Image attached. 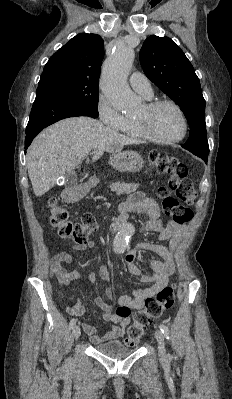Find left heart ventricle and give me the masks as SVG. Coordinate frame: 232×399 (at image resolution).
<instances>
[{"label": "left heart ventricle", "instance_id": "b2bd125f", "mask_svg": "<svg viewBox=\"0 0 232 399\" xmlns=\"http://www.w3.org/2000/svg\"><path fill=\"white\" fill-rule=\"evenodd\" d=\"M134 118H142L150 132L161 139H174L183 131L182 119L178 111L170 105H162L147 114L144 106Z\"/></svg>", "mask_w": 232, "mask_h": 399}]
</instances>
